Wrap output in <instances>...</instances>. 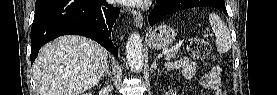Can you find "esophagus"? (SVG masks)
Masks as SVG:
<instances>
[{
	"mask_svg": "<svg viewBox=\"0 0 277 95\" xmlns=\"http://www.w3.org/2000/svg\"><path fill=\"white\" fill-rule=\"evenodd\" d=\"M133 18H134V22L136 27H141L143 24V16L140 12L136 11V10H132L131 11Z\"/></svg>",
	"mask_w": 277,
	"mask_h": 95,
	"instance_id": "esophagus-1",
	"label": "esophagus"
}]
</instances>
